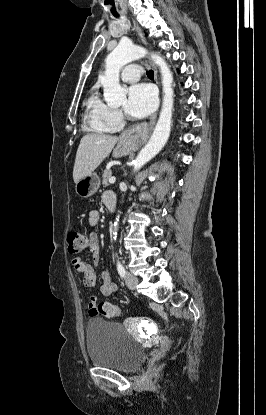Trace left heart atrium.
<instances>
[{
    "label": "left heart atrium",
    "instance_id": "left-heart-atrium-1",
    "mask_svg": "<svg viewBox=\"0 0 266 415\" xmlns=\"http://www.w3.org/2000/svg\"><path fill=\"white\" fill-rule=\"evenodd\" d=\"M156 104V93L150 85L134 84L128 89L124 109L133 118H143L155 109Z\"/></svg>",
    "mask_w": 266,
    "mask_h": 415
}]
</instances>
